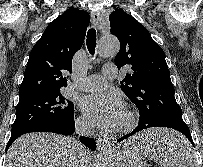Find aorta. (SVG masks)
Listing matches in <instances>:
<instances>
[{"label":"aorta","instance_id":"obj_1","mask_svg":"<svg viewBox=\"0 0 203 167\" xmlns=\"http://www.w3.org/2000/svg\"><path fill=\"white\" fill-rule=\"evenodd\" d=\"M120 48L118 39L113 36H105L101 38L97 46V54L101 58H108L115 56ZM95 167H110L109 157L107 152H104L98 157Z\"/></svg>","mask_w":203,"mask_h":167}]
</instances>
